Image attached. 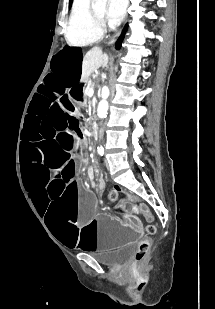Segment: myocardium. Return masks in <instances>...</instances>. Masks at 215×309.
<instances>
[{"instance_id":"f54148a6","label":"myocardium","mask_w":215,"mask_h":309,"mask_svg":"<svg viewBox=\"0 0 215 309\" xmlns=\"http://www.w3.org/2000/svg\"><path fill=\"white\" fill-rule=\"evenodd\" d=\"M86 13L89 15H92L90 14L91 13L90 9H87ZM95 24L97 25V28L95 30H109V27H110L109 23H107L106 20H97Z\"/></svg>"}]
</instances>
